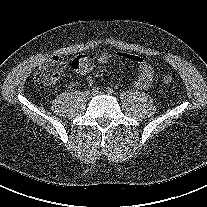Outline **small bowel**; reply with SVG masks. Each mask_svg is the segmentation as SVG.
<instances>
[{
    "label": "small bowel",
    "instance_id": "small-bowel-1",
    "mask_svg": "<svg viewBox=\"0 0 207 207\" xmlns=\"http://www.w3.org/2000/svg\"><path fill=\"white\" fill-rule=\"evenodd\" d=\"M114 57L131 60L138 65L139 74L137 78L133 81V86L135 88L149 89L151 87L154 79V68L149 62L143 60L136 55H131L127 53L113 54L109 52L101 53L94 58L88 55H79L72 61V65L77 74L85 76L94 68L96 63L105 64ZM87 81L89 84L94 83V79L92 77H88Z\"/></svg>",
    "mask_w": 207,
    "mask_h": 207
}]
</instances>
